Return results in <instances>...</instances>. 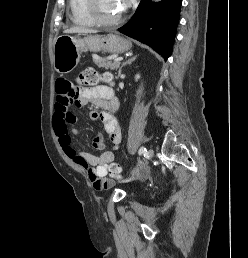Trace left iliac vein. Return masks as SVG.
Masks as SVG:
<instances>
[{
    "label": "left iliac vein",
    "mask_w": 248,
    "mask_h": 258,
    "mask_svg": "<svg viewBox=\"0 0 248 258\" xmlns=\"http://www.w3.org/2000/svg\"><path fill=\"white\" fill-rule=\"evenodd\" d=\"M153 155H154L153 149H149L148 152H147L146 157L149 160V159H151L153 157Z\"/></svg>",
    "instance_id": "obj_1"
}]
</instances>
